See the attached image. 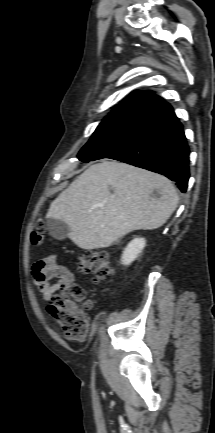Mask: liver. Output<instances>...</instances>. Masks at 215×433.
<instances>
[{
    "label": "liver",
    "instance_id": "1",
    "mask_svg": "<svg viewBox=\"0 0 215 433\" xmlns=\"http://www.w3.org/2000/svg\"><path fill=\"white\" fill-rule=\"evenodd\" d=\"M178 201L168 178L126 163L103 161L60 193L46 218L65 222L70 240L92 250L106 248L129 232L161 227Z\"/></svg>",
    "mask_w": 215,
    "mask_h": 433
}]
</instances>
